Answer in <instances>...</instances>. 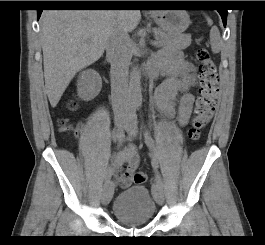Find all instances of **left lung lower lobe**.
<instances>
[{"instance_id": "1", "label": "left lung lower lobe", "mask_w": 265, "mask_h": 245, "mask_svg": "<svg viewBox=\"0 0 265 245\" xmlns=\"http://www.w3.org/2000/svg\"><path fill=\"white\" fill-rule=\"evenodd\" d=\"M151 3H152V5H156V6H178V5L182 4V1H152ZM217 11L221 15L224 26H226L227 10L226 9H220Z\"/></svg>"}]
</instances>
